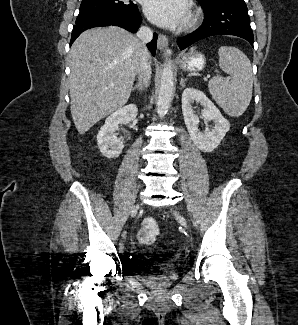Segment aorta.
Instances as JSON below:
<instances>
[{"label":"aorta","mask_w":298,"mask_h":325,"mask_svg":"<svg viewBox=\"0 0 298 325\" xmlns=\"http://www.w3.org/2000/svg\"><path fill=\"white\" fill-rule=\"evenodd\" d=\"M174 92V68L172 58H166L161 76L160 86L157 96V114L164 116L168 108L171 106L172 96Z\"/></svg>","instance_id":"762f6f07"}]
</instances>
